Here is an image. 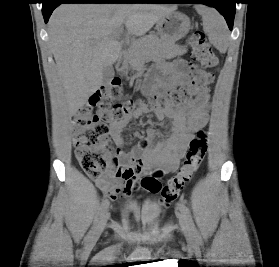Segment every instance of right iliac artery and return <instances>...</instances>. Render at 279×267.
<instances>
[{
  "instance_id": "obj_1",
  "label": "right iliac artery",
  "mask_w": 279,
  "mask_h": 267,
  "mask_svg": "<svg viewBox=\"0 0 279 267\" xmlns=\"http://www.w3.org/2000/svg\"><path fill=\"white\" fill-rule=\"evenodd\" d=\"M108 205H109V201L106 199V200H103L100 207H99V210L97 212V215L95 217V220H94V226L91 228V230L89 231L88 235H87V240L90 241L91 238H92V234L94 232V228H95V225L98 223L99 219L103 216V214L105 213L106 209L108 208Z\"/></svg>"
}]
</instances>
